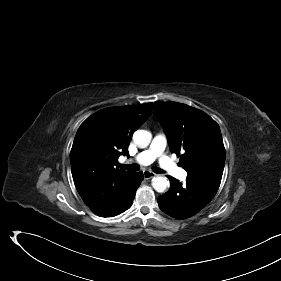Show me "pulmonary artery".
Listing matches in <instances>:
<instances>
[{
    "label": "pulmonary artery",
    "mask_w": 281,
    "mask_h": 281,
    "mask_svg": "<svg viewBox=\"0 0 281 281\" xmlns=\"http://www.w3.org/2000/svg\"><path fill=\"white\" fill-rule=\"evenodd\" d=\"M166 146L167 137L165 134L158 133L154 136L149 148L139 153L134 160L138 164L149 165L158 159L161 168L170 175L180 180L185 179L187 173L164 154Z\"/></svg>",
    "instance_id": "1"
}]
</instances>
